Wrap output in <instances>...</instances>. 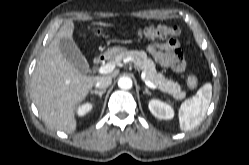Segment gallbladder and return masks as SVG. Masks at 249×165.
Segmentation results:
<instances>
[{
  "label": "gallbladder",
  "instance_id": "gallbladder-1",
  "mask_svg": "<svg viewBox=\"0 0 249 165\" xmlns=\"http://www.w3.org/2000/svg\"><path fill=\"white\" fill-rule=\"evenodd\" d=\"M59 46L63 56L69 63H71L81 73L88 72L89 64L72 39L66 37L61 38Z\"/></svg>",
  "mask_w": 249,
  "mask_h": 165
}]
</instances>
